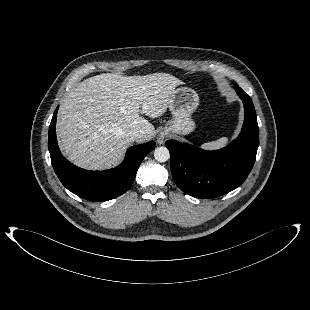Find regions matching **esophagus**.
I'll use <instances>...</instances> for the list:
<instances>
[{"label":"esophagus","mask_w":310,"mask_h":310,"mask_svg":"<svg viewBox=\"0 0 310 310\" xmlns=\"http://www.w3.org/2000/svg\"><path fill=\"white\" fill-rule=\"evenodd\" d=\"M168 137V133L166 132H161L158 137H157V141L159 144L164 143L165 139Z\"/></svg>","instance_id":"1"}]
</instances>
